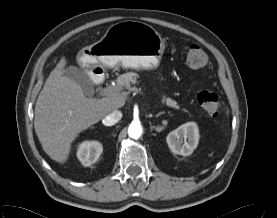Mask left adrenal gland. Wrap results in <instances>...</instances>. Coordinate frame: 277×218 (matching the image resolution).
Masks as SVG:
<instances>
[{
    "label": "left adrenal gland",
    "instance_id": "1",
    "mask_svg": "<svg viewBox=\"0 0 277 218\" xmlns=\"http://www.w3.org/2000/svg\"><path fill=\"white\" fill-rule=\"evenodd\" d=\"M164 114V112H160L156 115V118H158L160 115Z\"/></svg>",
    "mask_w": 277,
    "mask_h": 218
}]
</instances>
